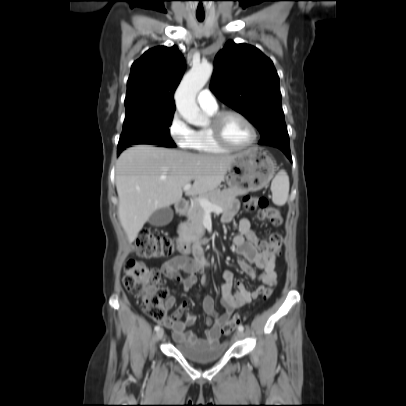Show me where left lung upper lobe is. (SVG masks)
I'll list each match as a JSON object with an SVG mask.
<instances>
[{"label":"left lung upper lobe","mask_w":406,"mask_h":406,"mask_svg":"<svg viewBox=\"0 0 406 406\" xmlns=\"http://www.w3.org/2000/svg\"><path fill=\"white\" fill-rule=\"evenodd\" d=\"M211 91L260 132V145L289 146L279 77L259 49L228 41L215 57Z\"/></svg>","instance_id":"1"}]
</instances>
